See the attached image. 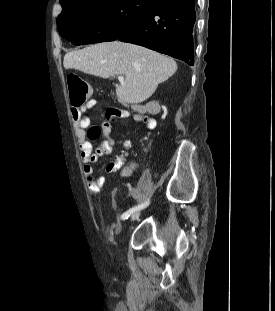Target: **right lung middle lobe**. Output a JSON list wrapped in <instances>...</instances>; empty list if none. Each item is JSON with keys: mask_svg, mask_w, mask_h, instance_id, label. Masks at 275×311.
<instances>
[{"mask_svg": "<svg viewBox=\"0 0 275 311\" xmlns=\"http://www.w3.org/2000/svg\"><path fill=\"white\" fill-rule=\"evenodd\" d=\"M159 0H73L57 18L61 36L75 45L112 41Z\"/></svg>", "mask_w": 275, "mask_h": 311, "instance_id": "dd1d6c3e", "label": "right lung middle lobe"}]
</instances>
